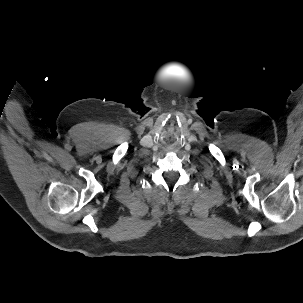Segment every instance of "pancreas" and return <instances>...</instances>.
Here are the masks:
<instances>
[{
  "mask_svg": "<svg viewBox=\"0 0 303 303\" xmlns=\"http://www.w3.org/2000/svg\"><path fill=\"white\" fill-rule=\"evenodd\" d=\"M42 147H46L45 145H41Z\"/></svg>",
  "mask_w": 303,
  "mask_h": 303,
  "instance_id": "obj_1",
  "label": "pancreas"
}]
</instances>
